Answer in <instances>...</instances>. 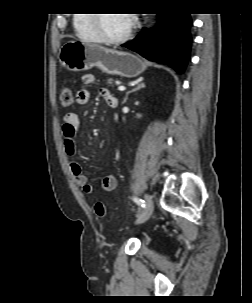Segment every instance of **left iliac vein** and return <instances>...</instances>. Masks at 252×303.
I'll return each instance as SVG.
<instances>
[{
	"label": "left iliac vein",
	"mask_w": 252,
	"mask_h": 303,
	"mask_svg": "<svg viewBox=\"0 0 252 303\" xmlns=\"http://www.w3.org/2000/svg\"><path fill=\"white\" fill-rule=\"evenodd\" d=\"M144 199H145L146 207H145L144 211L142 212V214L137 219V221H136L137 224H141V223H144L145 221H147L150 218V216L152 215V212L154 209V203H153L152 197L148 194H145Z\"/></svg>",
	"instance_id": "1"
}]
</instances>
